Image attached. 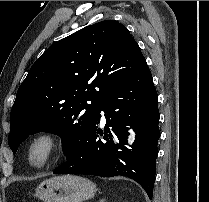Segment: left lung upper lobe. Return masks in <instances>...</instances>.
<instances>
[{"instance_id": "obj_1", "label": "left lung upper lobe", "mask_w": 209, "mask_h": 202, "mask_svg": "<svg viewBox=\"0 0 209 202\" xmlns=\"http://www.w3.org/2000/svg\"><path fill=\"white\" fill-rule=\"evenodd\" d=\"M145 63L127 28L112 20L54 43L17 91L10 113L12 152L30 134L50 132L61 137L67 156L84 138L97 104Z\"/></svg>"}]
</instances>
